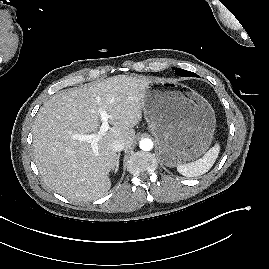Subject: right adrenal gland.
<instances>
[{"label":"right adrenal gland","mask_w":269,"mask_h":269,"mask_svg":"<svg viewBox=\"0 0 269 269\" xmlns=\"http://www.w3.org/2000/svg\"><path fill=\"white\" fill-rule=\"evenodd\" d=\"M119 160H120V153H118V155H117V162H116V167L114 169V173H117L118 172V169H119Z\"/></svg>","instance_id":"right-adrenal-gland-1"}]
</instances>
